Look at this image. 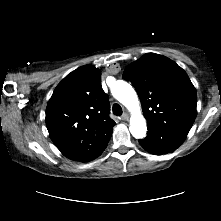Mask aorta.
Returning a JSON list of instances; mask_svg holds the SVG:
<instances>
[{"label":"aorta","mask_w":221,"mask_h":221,"mask_svg":"<svg viewBox=\"0 0 221 221\" xmlns=\"http://www.w3.org/2000/svg\"><path fill=\"white\" fill-rule=\"evenodd\" d=\"M113 97L131 113L129 130L133 137L142 139L146 136V120L141 113L138 96L133 87L125 81H117L111 87Z\"/></svg>","instance_id":"762f6f07"}]
</instances>
